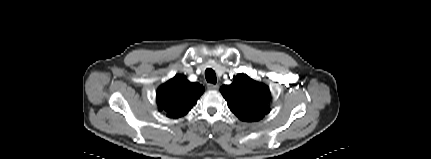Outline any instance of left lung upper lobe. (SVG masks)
Listing matches in <instances>:
<instances>
[{
  "label": "left lung upper lobe",
  "instance_id": "left-lung-upper-lobe-1",
  "mask_svg": "<svg viewBox=\"0 0 431 159\" xmlns=\"http://www.w3.org/2000/svg\"><path fill=\"white\" fill-rule=\"evenodd\" d=\"M220 90L230 110L243 121H257L270 111L269 88L245 74H239L230 86Z\"/></svg>",
  "mask_w": 431,
  "mask_h": 159
}]
</instances>
